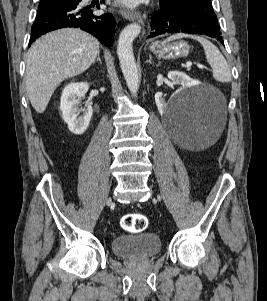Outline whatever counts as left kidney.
<instances>
[{
    "instance_id": "5707ae66",
    "label": "left kidney",
    "mask_w": 267,
    "mask_h": 301,
    "mask_svg": "<svg viewBox=\"0 0 267 301\" xmlns=\"http://www.w3.org/2000/svg\"><path fill=\"white\" fill-rule=\"evenodd\" d=\"M168 78L174 82L181 84L182 89H186V88L188 89L197 84V82H195L193 79H191L186 74L179 72V71H170L168 73ZM155 102L159 109L165 108L167 106L166 102L163 100L160 93H157L155 95Z\"/></svg>"
}]
</instances>
